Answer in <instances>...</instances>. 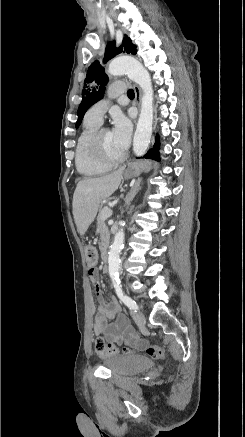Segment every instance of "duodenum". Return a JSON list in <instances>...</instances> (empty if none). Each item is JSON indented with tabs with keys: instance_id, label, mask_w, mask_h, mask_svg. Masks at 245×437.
I'll return each mask as SVG.
<instances>
[{
	"instance_id": "duodenum-1",
	"label": "duodenum",
	"mask_w": 245,
	"mask_h": 437,
	"mask_svg": "<svg viewBox=\"0 0 245 437\" xmlns=\"http://www.w3.org/2000/svg\"><path fill=\"white\" fill-rule=\"evenodd\" d=\"M108 257H109L108 248L106 246H104L101 250V258L104 262V266H103L104 273L108 272Z\"/></svg>"
}]
</instances>
